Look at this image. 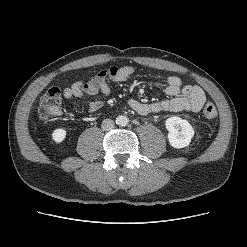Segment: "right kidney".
Masks as SVG:
<instances>
[{
	"mask_svg": "<svg viewBox=\"0 0 247 247\" xmlns=\"http://www.w3.org/2000/svg\"><path fill=\"white\" fill-rule=\"evenodd\" d=\"M66 130L63 128H58L56 130L53 131L52 133V139L56 142V143H61L64 141V139L66 138Z\"/></svg>",
	"mask_w": 247,
	"mask_h": 247,
	"instance_id": "obj_1",
	"label": "right kidney"
}]
</instances>
